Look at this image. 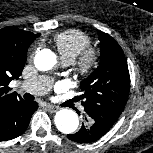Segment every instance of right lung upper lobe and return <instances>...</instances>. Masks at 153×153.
<instances>
[{
    "label": "right lung upper lobe",
    "instance_id": "cb5924a9",
    "mask_svg": "<svg viewBox=\"0 0 153 153\" xmlns=\"http://www.w3.org/2000/svg\"><path fill=\"white\" fill-rule=\"evenodd\" d=\"M39 35L10 26L0 29V112L9 104L22 100L8 85L21 75L27 49Z\"/></svg>",
    "mask_w": 153,
    "mask_h": 153
}]
</instances>
